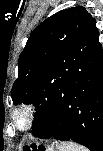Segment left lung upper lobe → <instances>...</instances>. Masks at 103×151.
I'll list each match as a JSON object with an SVG mask.
<instances>
[{"instance_id":"obj_1","label":"left lung upper lobe","mask_w":103,"mask_h":151,"mask_svg":"<svg viewBox=\"0 0 103 151\" xmlns=\"http://www.w3.org/2000/svg\"><path fill=\"white\" fill-rule=\"evenodd\" d=\"M95 25V18L78 6L59 11L36 27L19 57L18 78L11 90L13 103H31L37 81L45 76L56 79L58 58Z\"/></svg>"}]
</instances>
